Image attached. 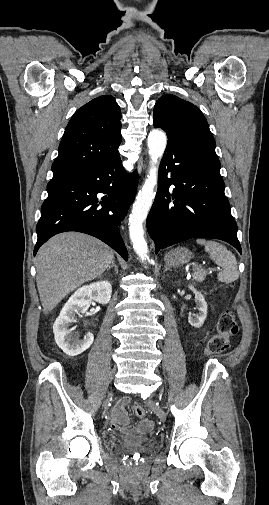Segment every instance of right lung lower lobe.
Returning <instances> with one entry per match:
<instances>
[{"mask_svg": "<svg viewBox=\"0 0 269 505\" xmlns=\"http://www.w3.org/2000/svg\"><path fill=\"white\" fill-rule=\"evenodd\" d=\"M137 182L136 172L125 173L119 154L68 176L52 179L47 185L48 197L36 226L38 240L34 255L55 234L77 231L97 237L127 260V249L117 225L134 199Z\"/></svg>", "mask_w": 269, "mask_h": 505, "instance_id": "right-lung-lower-lobe-1", "label": "right lung lower lobe"}]
</instances>
